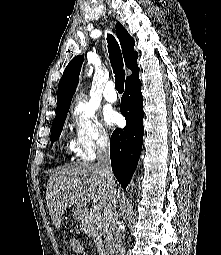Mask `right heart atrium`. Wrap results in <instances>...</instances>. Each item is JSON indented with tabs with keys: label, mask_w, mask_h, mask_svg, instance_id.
<instances>
[{
	"label": "right heart atrium",
	"mask_w": 221,
	"mask_h": 255,
	"mask_svg": "<svg viewBox=\"0 0 221 255\" xmlns=\"http://www.w3.org/2000/svg\"><path fill=\"white\" fill-rule=\"evenodd\" d=\"M71 123L76 145L82 157L90 158L96 150L108 143L107 131L98 120L96 113L87 105L79 103L74 106Z\"/></svg>",
	"instance_id": "d8ad5b80"
}]
</instances>
